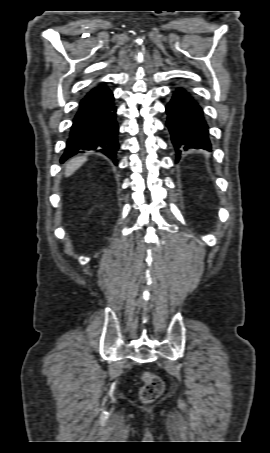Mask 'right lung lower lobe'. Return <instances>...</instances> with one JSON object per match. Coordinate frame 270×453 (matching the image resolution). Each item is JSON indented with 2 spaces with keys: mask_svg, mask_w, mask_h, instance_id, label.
I'll return each mask as SVG.
<instances>
[{
  "mask_svg": "<svg viewBox=\"0 0 270 453\" xmlns=\"http://www.w3.org/2000/svg\"><path fill=\"white\" fill-rule=\"evenodd\" d=\"M118 130L113 93L105 85L92 88L79 103L61 162L84 151H95L117 165Z\"/></svg>",
  "mask_w": 270,
  "mask_h": 453,
  "instance_id": "right-lung-lower-lobe-1",
  "label": "right lung lower lobe"
}]
</instances>
